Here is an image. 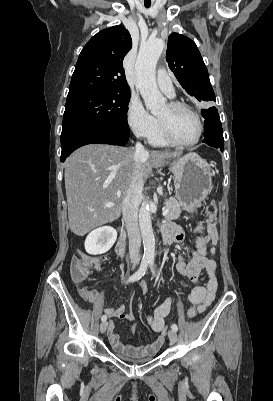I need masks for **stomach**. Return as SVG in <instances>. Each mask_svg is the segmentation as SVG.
<instances>
[{
  "label": "stomach",
  "instance_id": "obj_1",
  "mask_svg": "<svg viewBox=\"0 0 273 401\" xmlns=\"http://www.w3.org/2000/svg\"><path fill=\"white\" fill-rule=\"evenodd\" d=\"M170 164L174 174L175 196L184 211L194 213L211 190V168L197 152L184 154Z\"/></svg>",
  "mask_w": 273,
  "mask_h": 401
}]
</instances>
